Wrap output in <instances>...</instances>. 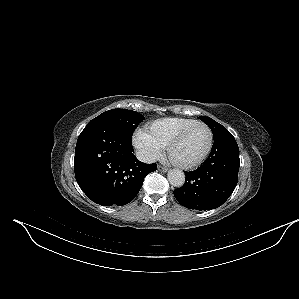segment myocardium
I'll return each instance as SVG.
<instances>
[{"label":"myocardium","mask_w":299,"mask_h":299,"mask_svg":"<svg viewBox=\"0 0 299 299\" xmlns=\"http://www.w3.org/2000/svg\"><path fill=\"white\" fill-rule=\"evenodd\" d=\"M197 126L205 127L209 133V141H208V145H207L204 153L197 160H195L193 162H189V163H183V162H179V161L175 160L171 154L173 147L175 145H177L186 136V134L189 131H191L193 128H195ZM213 140H214V136H213V132H212L211 128L206 123L197 121V122L183 128L181 131H179L168 142V144L166 146V150H167V153H168L170 159L172 160V162L175 163L178 167L183 168V169H192V168L198 167L207 159V157L209 156V154L212 150Z\"/></svg>","instance_id":"obj_1"}]
</instances>
